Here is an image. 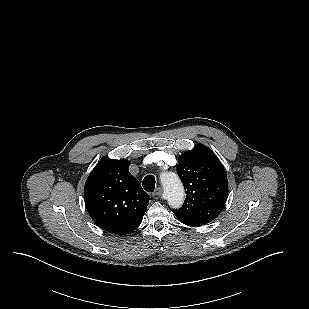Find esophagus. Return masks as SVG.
<instances>
[{"label": "esophagus", "mask_w": 309, "mask_h": 309, "mask_svg": "<svg viewBox=\"0 0 309 309\" xmlns=\"http://www.w3.org/2000/svg\"><path fill=\"white\" fill-rule=\"evenodd\" d=\"M162 192H163L162 188L158 187V188H156L155 192L153 193V196L156 197V198H159V197H161Z\"/></svg>", "instance_id": "obj_1"}]
</instances>
